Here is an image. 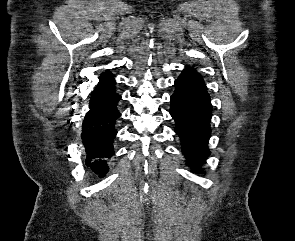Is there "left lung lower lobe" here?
<instances>
[{"label":"left lung lower lobe","mask_w":295,"mask_h":241,"mask_svg":"<svg viewBox=\"0 0 295 241\" xmlns=\"http://www.w3.org/2000/svg\"><path fill=\"white\" fill-rule=\"evenodd\" d=\"M170 114L175 120V133L180 137L182 153L192 170L210 155L207 144L211 135L212 105L206 88L185 75L175 80L170 98Z\"/></svg>","instance_id":"left-lung-lower-lobe-1"}]
</instances>
